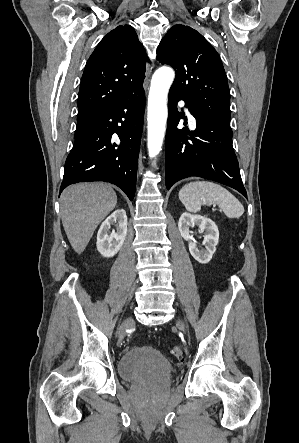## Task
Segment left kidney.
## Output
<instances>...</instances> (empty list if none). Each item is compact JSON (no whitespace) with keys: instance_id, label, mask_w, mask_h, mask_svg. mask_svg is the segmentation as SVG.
Segmentation results:
<instances>
[{"instance_id":"1","label":"left kidney","mask_w":299,"mask_h":443,"mask_svg":"<svg viewBox=\"0 0 299 443\" xmlns=\"http://www.w3.org/2000/svg\"><path fill=\"white\" fill-rule=\"evenodd\" d=\"M194 225L198 226L202 232H206L203 242L205 249L199 250L193 237L190 236L189 227ZM178 228L181 236L188 241L189 251L193 258L199 263H208L216 251L219 240V231L216 224L205 216L192 215L184 212L179 219Z\"/></svg>"}]
</instances>
